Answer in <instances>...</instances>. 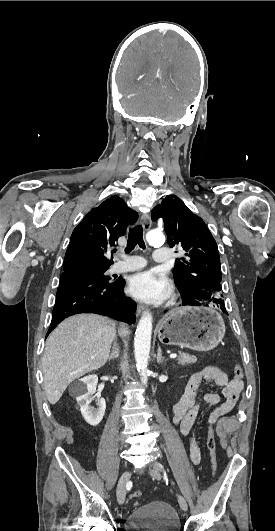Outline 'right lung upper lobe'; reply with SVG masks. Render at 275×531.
<instances>
[{
  "label": "right lung upper lobe",
  "instance_id": "1",
  "mask_svg": "<svg viewBox=\"0 0 275 531\" xmlns=\"http://www.w3.org/2000/svg\"><path fill=\"white\" fill-rule=\"evenodd\" d=\"M137 219L138 214L118 196L93 208L71 235L63 270L83 265L110 266L113 262L105 257L107 249L115 246Z\"/></svg>",
  "mask_w": 275,
  "mask_h": 531
}]
</instances>
